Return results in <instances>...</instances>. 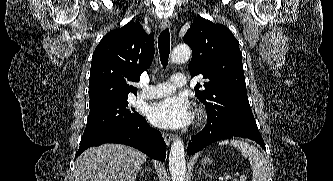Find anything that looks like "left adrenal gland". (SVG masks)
<instances>
[{
    "mask_svg": "<svg viewBox=\"0 0 333 181\" xmlns=\"http://www.w3.org/2000/svg\"><path fill=\"white\" fill-rule=\"evenodd\" d=\"M201 174L208 175L206 172H204V170H203L202 168H199V176H200Z\"/></svg>",
    "mask_w": 333,
    "mask_h": 181,
    "instance_id": "left-adrenal-gland-1",
    "label": "left adrenal gland"
}]
</instances>
